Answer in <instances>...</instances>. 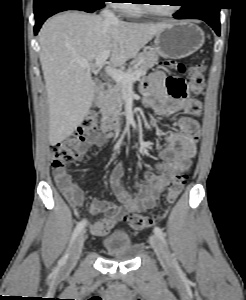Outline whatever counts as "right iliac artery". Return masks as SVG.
<instances>
[{"instance_id":"right-iliac-artery-1","label":"right iliac artery","mask_w":246,"mask_h":300,"mask_svg":"<svg viewBox=\"0 0 246 300\" xmlns=\"http://www.w3.org/2000/svg\"><path fill=\"white\" fill-rule=\"evenodd\" d=\"M87 220H82L80 221L76 228L74 229V232L72 234L71 237V241H70V247L72 246L73 242L75 241L76 237L82 232V230L84 229L85 225H86ZM68 254H69V250H67L66 254L59 260L58 262V266L61 267L65 264L67 258H68Z\"/></svg>"}]
</instances>
